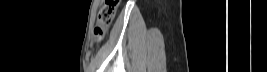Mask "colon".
I'll use <instances>...</instances> for the list:
<instances>
[{
	"label": "colon",
	"instance_id": "1",
	"mask_svg": "<svg viewBox=\"0 0 267 72\" xmlns=\"http://www.w3.org/2000/svg\"><path fill=\"white\" fill-rule=\"evenodd\" d=\"M118 3L119 0H106L99 8L96 26L93 31V36L95 40H101L105 31L112 23Z\"/></svg>",
	"mask_w": 267,
	"mask_h": 72
}]
</instances>
